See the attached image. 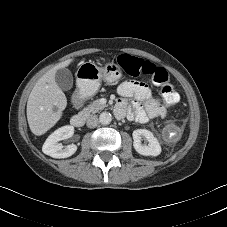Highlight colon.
<instances>
[{"instance_id": "colon-1", "label": "colon", "mask_w": 227, "mask_h": 227, "mask_svg": "<svg viewBox=\"0 0 227 227\" xmlns=\"http://www.w3.org/2000/svg\"><path fill=\"white\" fill-rule=\"evenodd\" d=\"M120 67L130 76H148L161 86V97L166 104L174 105L179 96L174 84L169 80L167 71L149 61H139L132 57H122Z\"/></svg>"}]
</instances>
